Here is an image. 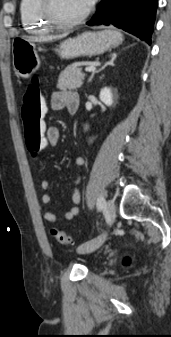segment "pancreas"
<instances>
[{"instance_id":"cf45deb5","label":"pancreas","mask_w":171,"mask_h":337,"mask_svg":"<svg viewBox=\"0 0 171 337\" xmlns=\"http://www.w3.org/2000/svg\"><path fill=\"white\" fill-rule=\"evenodd\" d=\"M88 64L89 62H83L67 66L59 75L57 87L61 90L80 88L85 78V74L82 73L80 66Z\"/></svg>"}]
</instances>
